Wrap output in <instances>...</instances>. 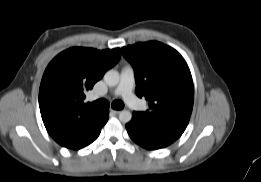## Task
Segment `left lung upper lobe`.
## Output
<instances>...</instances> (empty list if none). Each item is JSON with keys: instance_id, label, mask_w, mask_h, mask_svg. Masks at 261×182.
Segmentation results:
<instances>
[{"instance_id": "obj_1", "label": "left lung upper lobe", "mask_w": 261, "mask_h": 182, "mask_svg": "<svg viewBox=\"0 0 261 182\" xmlns=\"http://www.w3.org/2000/svg\"><path fill=\"white\" fill-rule=\"evenodd\" d=\"M135 71L136 94L148 100L150 110L133 112L146 126L182 134L193 108L194 87L184 58L157 41L122 48Z\"/></svg>"}]
</instances>
